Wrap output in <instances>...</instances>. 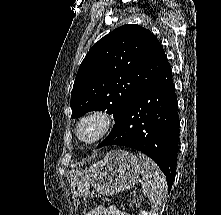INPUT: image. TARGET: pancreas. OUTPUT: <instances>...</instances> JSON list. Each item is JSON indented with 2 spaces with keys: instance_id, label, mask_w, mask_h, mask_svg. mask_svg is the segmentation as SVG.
Instances as JSON below:
<instances>
[{
  "instance_id": "obj_1",
  "label": "pancreas",
  "mask_w": 221,
  "mask_h": 215,
  "mask_svg": "<svg viewBox=\"0 0 221 215\" xmlns=\"http://www.w3.org/2000/svg\"><path fill=\"white\" fill-rule=\"evenodd\" d=\"M134 204L139 205L140 201L138 198H134L132 200L129 201V206H134Z\"/></svg>"
}]
</instances>
